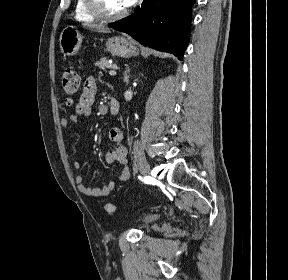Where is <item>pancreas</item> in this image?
Listing matches in <instances>:
<instances>
[{"label": "pancreas", "mask_w": 288, "mask_h": 280, "mask_svg": "<svg viewBox=\"0 0 288 280\" xmlns=\"http://www.w3.org/2000/svg\"><path fill=\"white\" fill-rule=\"evenodd\" d=\"M95 66L105 70L106 68L117 67L115 64H112L108 59L105 57L101 58L99 61L95 63Z\"/></svg>", "instance_id": "obj_1"}]
</instances>
